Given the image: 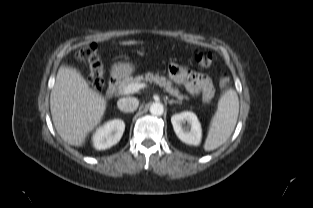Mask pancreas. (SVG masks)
<instances>
[{
  "instance_id": "pancreas-1",
  "label": "pancreas",
  "mask_w": 313,
  "mask_h": 208,
  "mask_svg": "<svg viewBox=\"0 0 313 208\" xmlns=\"http://www.w3.org/2000/svg\"><path fill=\"white\" fill-rule=\"evenodd\" d=\"M142 81L155 83V84L159 85L160 87H163L166 92H168L172 96L177 97L178 100H180V101H182L184 98L188 99L187 96H183L182 94H180L179 90L177 88H173L171 82L168 81L165 77H160L158 74L153 75L152 73H147L145 75V77H143L142 75L136 76L135 78L125 77L118 84L117 89H118L119 94H125L124 89L129 84L141 83Z\"/></svg>"
}]
</instances>
